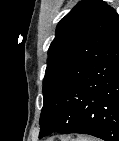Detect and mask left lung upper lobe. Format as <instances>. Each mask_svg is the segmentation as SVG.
<instances>
[{
	"label": "left lung upper lobe",
	"instance_id": "1",
	"mask_svg": "<svg viewBox=\"0 0 119 141\" xmlns=\"http://www.w3.org/2000/svg\"><path fill=\"white\" fill-rule=\"evenodd\" d=\"M116 11L102 0L79 2L57 25L48 50L43 80V108L81 74L96 56Z\"/></svg>",
	"mask_w": 119,
	"mask_h": 141
}]
</instances>
